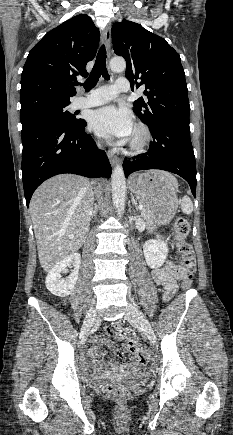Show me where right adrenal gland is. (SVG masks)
<instances>
[{
    "label": "right adrenal gland",
    "mask_w": 233,
    "mask_h": 435,
    "mask_svg": "<svg viewBox=\"0 0 233 435\" xmlns=\"http://www.w3.org/2000/svg\"><path fill=\"white\" fill-rule=\"evenodd\" d=\"M97 212H98V208H97V206L95 205L90 220H92L93 217L95 218V217L97 216Z\"/></svg>",
    "instance_id": "1"
}]
</instances>
